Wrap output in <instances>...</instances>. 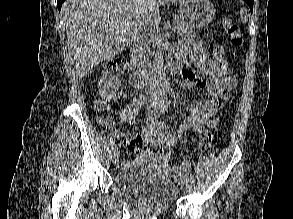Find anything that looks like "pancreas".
I'll list each match as a JSON object with an SVG mask.
<instances>
[{"label": "pancreas", "instance_id": "pancreas-1", "mask_svg": "<svg viewBox=\"0 0 293 219\" xmlns=\"http://www.w3.org/2000/svg\"><path fill=\"white\" fill-rule=\"evenodd\" d=\"M174 31H176V33L182 37H195L197 35V33L194 30V27H192L189 23L181 19H175ZM157 39L158 37L156 36V34H151L149 43L152 44V46H154Z\"/></svg>", "mask_w": 293, "mask_h": 219}]
</instances>
